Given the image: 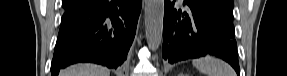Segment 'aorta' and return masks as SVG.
Listing matches in <instances>:
<instances>
[{
	"mask_svg": "<svg viewBox=\"0 0 287 76\" xmlns=\"http://www.w3.org/2000/svg\"><path fill=\"white\" fill-rule=\"evenodd\" d=\"M164 18V0L145 1V36L152 51H156L162 42Z\"/></svg>",
	"mask_w": 287,
	"mask_h": 76,
	"instance_id": "aorta-1",
	"label": "aorta"
}]
</instances>
